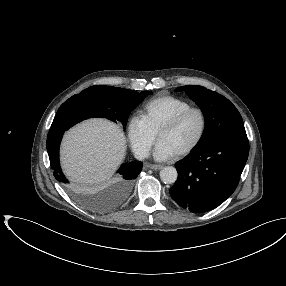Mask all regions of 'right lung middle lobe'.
<instances>
[{"label": "right lung middle lobe", "mask_w": 286, "mask_h": 286, "mask_svg": "<svg viewBox=\"0 0 286 286\" xmlns=\"http://www.w3.org/2000/svg\"><path fill=\"white\" fill-rule=\"evenodd\" d=\"M150 94V91L138 93L111 86H92L66 100L58 109L53 122L68 129L82 120L100 117L113 122L120 121L125 127L131 111ZM131 186L126 193H122V200L129 194ZM87 206L94 210L103 209L91 202H87Z\"/></svg>", "instance_id": "dd1d6c3e"}]
</instances>
